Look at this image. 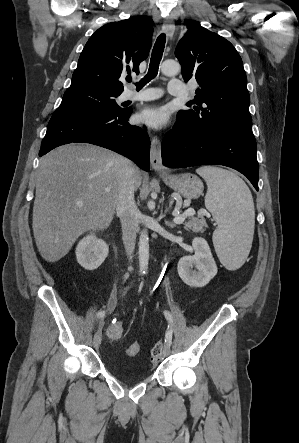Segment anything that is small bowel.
I'll return each mask as SVG.
<instances>
[{
    "mask_svg": "<svg viewBox=\"0 0 299 443\" xmlns=\"http://www.w3.org/2000/svg\"><path fill=\"white\" fill-rule=\"evenodd\" d=\"M115 307H116V300L113 298L110 300L109 305L106 309L107 315H111L113 313V311L115 310Z\"/></svg>",
    "mask_w": 299,
    "mask_h": 443,
    "instance_id": "1",
    "label": "small bowel"
}]
</instances>
